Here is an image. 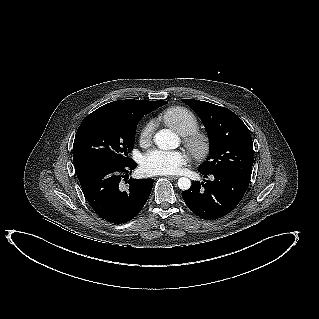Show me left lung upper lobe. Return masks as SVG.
I'll return each mask as SVG.
<instances>
[{"instance_id": "obj_1", "label": "left lung upper lobe", "mask_w": 319, "mask_h": 319, "mask_svg": "<svg viewBox=\"0 0 319 319\" xmlns=\"http://www.w3.org/2000/svg\"><path fill=\"white\" fill-rule=\"evenodd\" d=\"M203 121L210 140V153L199 171L232 172L250 181L254 150L249 129L227 108L209 102L183 99Z\"/></svg>"}]
</instances>
